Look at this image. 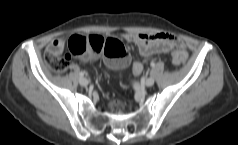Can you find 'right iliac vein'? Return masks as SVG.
Returning a JSON list of instances; mask_svg holds the SVG:
<instances>
[{"instance_id": "right-iliac-vein-1", "label": "right iliac vein", "mask_w": 238, "mask_h": 145, "mask_svg": "<svg viewBox=\"0 0 238 145\" xmlns=\"http://www.w3.org/2000/svg\"><path fill=\"white\" fill-rule=\"evenodd\" d=\"M79 83H80V85H82V86H87L88 83H89V81H88L87 78L82 77V78H80Z\"/></svg>"}]
</instances>
